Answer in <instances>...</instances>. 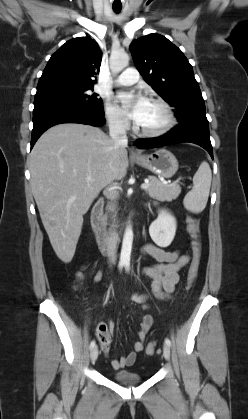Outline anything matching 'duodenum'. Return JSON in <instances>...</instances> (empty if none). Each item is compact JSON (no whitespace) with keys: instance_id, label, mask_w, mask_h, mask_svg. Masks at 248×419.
Wrapping results in <instances>:
<instances>
[{"instance_id":"1","label":"duodenum","mask_w":248,"mask_h":419,"mask_svg":"<svg viewBox=\"0 0 248 419\" xmlns=\"http://www.w3.org/2000/svg\"><path fill=\"white\" fill-rule=\"evenodd\" d=\"M105 201L104 199H98L94 204L91 212V226L96 235L97 243L101 250L105 253L108 252L109 246V237L107 228L103 218V209H104Z\"/></svg>"}]
</instances>
